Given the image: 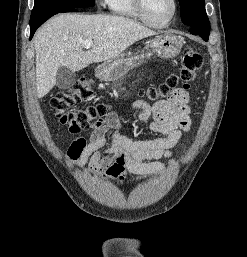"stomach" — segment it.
Listing matches in <instances>:
<instances>
[{
	"label": "stomach",
	"instance_id": "1",
	"mask_svg": "<svg viewBox=\"0 0 247 257\" xmlns=\"http://www.w3.org/2000/svg\"><path fill=\"white\" fill-rule=\"evenodd\" d=\"M182 45L183 41L178 36L167 34L152 39L147 43L146 48L150 53H156L162 58H172L179 54ZM144 61V54L123 53L99 65L95 75L103 81H116Z\"/></svg>",
	"mask_w": 247,
	"mask_h": 257
}]
</instances>
